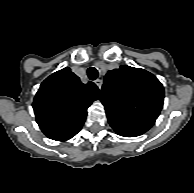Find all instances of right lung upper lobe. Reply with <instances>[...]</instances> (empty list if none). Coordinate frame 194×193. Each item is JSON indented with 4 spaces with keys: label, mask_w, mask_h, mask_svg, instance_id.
I'll use <instances>...</instances> for the list:
<instances>
[{
    "label": "right lung upper lobe",
    "mask_w": 194,
    "mask_h": 193,
    "mask_svg": "<svg viewBox=\"0 0 194 193\" xmlns=\"http://www.w3.org/2000/svg\"><path fill=\"white\" fill-rule=\"evenodd\" d=\"M100 97L93 83L83 84L66 67L45 79L34 98L36 121L43 133L57 141L77 134L87 115V108Z\"/></svg>",
    "instance_id": "cb5924a9"
}]
</instances>
